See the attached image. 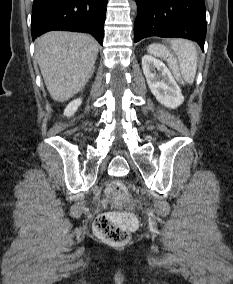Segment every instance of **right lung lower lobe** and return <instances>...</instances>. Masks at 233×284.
<instances>
[{
    "mask_svg": "<svg viewBox=\"0 0 233 284\" xmlns=\"http://www.w3.org/2000/svg\"><path fill=\"white\" fill-rule=\"evenodd\" d=\"M108 0H34L32 39L52 30L86 32L103 43Z\"/></svg>",
    "mask_w": 233,
    "mask_h": 284,
    "instance_id": "right-lung-lower-lobe-1",
    "label": "right lung lower lobe"
}]
</instances>
